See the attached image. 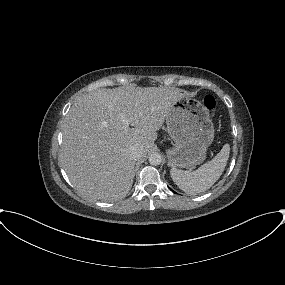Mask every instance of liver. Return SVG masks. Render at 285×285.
I'll list each match as a JSON object with an SVG mask.
<instances>
[{
  "label": "liver",
  "instance_id": "1",
  "mask_svg": "<svg viewBox=\"0 0 285 285\" xmlns=\"http://www.w3.org/2000/svg\"><path fill=\"white\" fill-rule=\"evenodd\" d=\"M183 94L173 87L97 89L78 98L62 126V168L74 187L87 197L115 201L130 191L135 160L129 148L143 156L157 131ZM124 115L132 128L125 127Z\"/></svg>",
  "mask_w": 285,
  "mask_h": 285
}]
</instances>
